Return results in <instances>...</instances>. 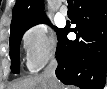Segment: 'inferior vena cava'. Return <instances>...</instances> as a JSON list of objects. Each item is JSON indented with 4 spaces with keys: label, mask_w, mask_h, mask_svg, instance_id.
<instances>
[{
    "label": "inferior vena cava",
    "mask_w": 107,
    "mask_h": 89,
    "mask_svg": "<svg viewBox=\"0 0 107 89\" xmlns=\"http://www.w3.org/2000/svg\"><path fill=\"white\" fill-rule=\"evenodd\" d=\"M57 65H58L57 60L52 59L43 72V75L50 82V86H51L50 89H56L57 78H56L55 71H56Z\"/></svg>",
    "instance_id": "1"
}]
</instances>
